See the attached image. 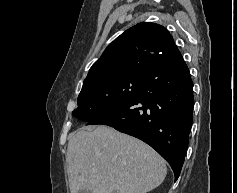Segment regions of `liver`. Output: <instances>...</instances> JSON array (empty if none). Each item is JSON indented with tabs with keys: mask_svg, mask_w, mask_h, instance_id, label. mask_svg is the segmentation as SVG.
<instances>
[{
	"mask_svg": "<svg viewBox=\"0 0 237 193\" xmlns=\"http://www.w3.org/2000/svg\"><path fill=\"white\" fill-rule=\"evenodd\" d=\"M66 161L71 193H147L167 173L164 160L150 146L103 125L72 133Z\"/></svg>",
	"mask_w": 237,
	"mask_h": 193,
	"instance_id": "6515ba94",
	"label": "liver"
}]
</instances>
